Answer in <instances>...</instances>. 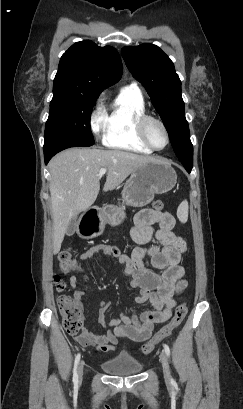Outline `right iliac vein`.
I'll return each instance as SVG.
<instances>
[{
  "mask_svg": "<svg viewBox=\"0 0 243 409\" xmlns=\"http://www.w3.org/2000/svg\"><path fill=\"white\" fill-rule=\"evenodd\" d=\"M83 368H84V364L83 362L80 363L79 368H78V376L81 379L83 376Z\"/></svg>",
  "mask_w": 243,
  "mask_h": 409,
  "instance_id": "1",
  "label": "right iliac vein"
}]
</instances>
